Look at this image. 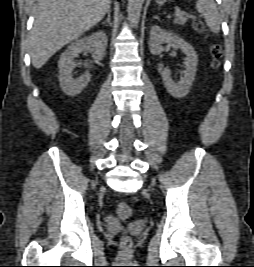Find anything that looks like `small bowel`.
<instances>
[{"instance_id": "small-bowel-1", "label": "small bowel", "mask_w": 254, "mask_h": 267, "mask_svg": "<svg viewBox=\"0 0 254 267\" xmlns=\"http://www.w3.org/2000/svg\"><path fill=\"white\" fill-rule=\"evenodd\" d=\"M107 219L109 222H114V217H112V216H108Z\"/></svg>"}]
</instances>
